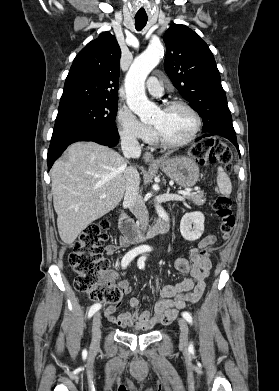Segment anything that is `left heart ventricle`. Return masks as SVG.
Wrapping results in <instances>:
<instances>
[{
	"instance_id": "left-heart-ventricle-1",
	"label": "left heart ventricle",
	"mask_w": 279,
	"mask_h": 391,
	"mask_svg": "<svg viewBox=\"0 0 279 391\" xmlns=\"http://www.w3.org/2000/svg\"><path fill=\"white\" fill-rule=\"evenodd\" d=\"M151 124L158 127L170 141H181L187 138L195 126L192 114L183 107H173L169 110L160 109Z\"/></svg>"
}]
</instances>
